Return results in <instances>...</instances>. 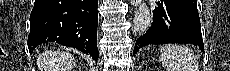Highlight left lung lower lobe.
I'll return each mask as SVG.
<instances>
[{
    "label": "left lung lower lobe",
    "instance_id": "obj_1",
    "mask_svg": "<svg viewBox=\"0 0 230 71\" xmlns=\"http://www.w3.org/2000/svg\"><path fill=\"white\" fill-rule=\"evenodd\" d=\"M153 23L140 36L133 54L149 44L190 43L204 51L197 0H157Z\"/></svg>",
    "mask_w": 230,
    "mask_h": 71
}]
</instances>
